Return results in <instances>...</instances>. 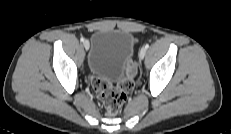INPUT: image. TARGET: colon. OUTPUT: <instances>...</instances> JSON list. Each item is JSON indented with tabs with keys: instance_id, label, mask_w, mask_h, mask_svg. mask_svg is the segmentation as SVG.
<instances>
[{
	"instance_id": "obj_1",
	"label": "colon",
	"mask_w": 231,
	"mask_h": 134,
	"mask_svg": "<svg viewBox=\"0 0 231 134\" xmlns=\"http://www.w3.org/2000/svg\"><path fill=\"white\" fill-rule=\"evenodd\" d=\"M136 67L132 63L129 70V75L126 80L118 87H112L103 80L93 77L91 83L97 92L108 115H116L127 99V95L134 87V76Z\"/></svg>"
}]
</instances>
